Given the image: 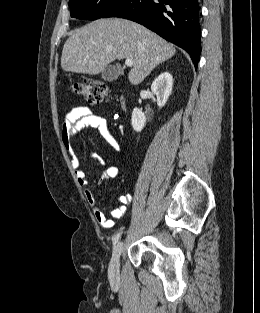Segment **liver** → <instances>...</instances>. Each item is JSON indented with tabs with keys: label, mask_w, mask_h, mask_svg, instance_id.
<instances>
[{
	"label": "liver",
	"mask_w": 260,
	"mask_h": 313,
	"mask_svg": "<svg viewBox=\"0 0 260 313\" xmlns=\"http://www.w3.org/2000/svg\"><path fill=\"white\" fill-rule=\"evenodd\" d=\"M176 49L156 33L127 19L93 21L75 30L63 46L61 67L66 72L96 75L120 59H132L131 84H140Z\"/></svg>",
	"instance_id": "1"
}]
</instances>
